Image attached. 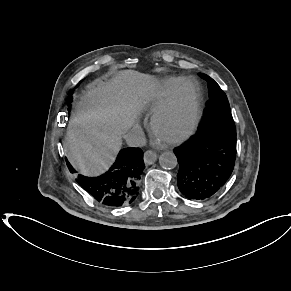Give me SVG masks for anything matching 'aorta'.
Wrapping results in <instances>:
<instances>
[{"label":"aorta","mask_w":291,"mask_h":291,"mask_svg":"<svg viewBox=\"0 0 291 291\" xmlns=\"http://www.w3.org/2000/svg\"><path fill=\"white\" fill-rule=\"evenodd\" d=\"M159 164L164 169H173L178 164L177 157L171 151L164 152L159 157Z\"/></svg>","instance_id":"1"}]
</instances>
